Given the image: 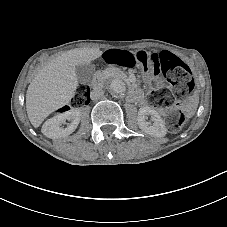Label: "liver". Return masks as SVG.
I'll return each mask as SVG.
<instances>
[{
  "label": "liver",
  "instance_id": "6515ba94",
  "mask_svg": "<svg viewBox=\"0 0 227 227\" xmlns=\"http://www.w3.org/2000/svg\"><path fill=\"white\" fill-rule=\"evenodd\" d=\"M97 48H76L42 68L30 83L26 108L31 124L38 128L49 114L68 105L78 86L75 67L98 57Z\"/></svg>",
  "mask_w": 227,
  "mask_h": 227
}]
</instances>
